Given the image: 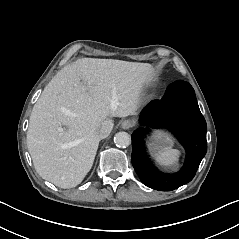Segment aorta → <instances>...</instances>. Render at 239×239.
Returning a JSON list of instances; mask_svg holds the SVG:
<instances>
[{"label":"aorta","instance_id":"1","mask_svg":"<svg viewBox=\"0 0 239 239\" xmlns=\"http://www.w3.org/2000/svg\"><path fill=\"white\" fill-rule=\"evenodd\" d=\"M114 142L118 147H128L131 144V136L127 132H118L114 136Z\"/></svg>","mask_w":239,"mask_h":239}]
</instances>
